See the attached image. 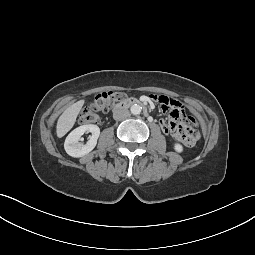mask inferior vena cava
Here are the masks:
<instances>
[{"label":"inferior vena cava","instance_id":"1","mask_svg":"<svg viewBox=\"0 0 255 255\" xmlns=\"http://www.w3.org/2000/svg\"><path fill=\"white\" fill-rule=\"evenodd\" d=\"M128 116H129V110L127 108L119 107L113 111V118L115 120H123L127 118Z\"/></svg>","mask_w":255,"mask_h":255}]
</instances>
